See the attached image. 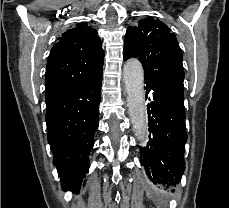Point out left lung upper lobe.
<instances>
[{"label": "left lung upper lobe", "mask_w": 229, "mask_h": 208, "mask_svg": "<svg viewBox=\"0 0 229 208\" xmlns=\"http://www.w3.org/2000/svg\"><path fill=\"white\" fill-rule=\"evenodd\" d=\"M132 57L141 61L145 83L184 104L182 52L166 24L148 16L129 26L124 39V60Z\"/></svg>", "instance_id": "obj_1"}]
</instances>
